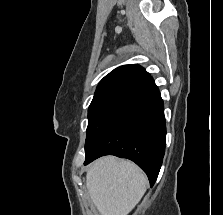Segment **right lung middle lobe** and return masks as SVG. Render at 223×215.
<instances>
[{
	"label": "right lung middle lobe",
	"instance_id": "obj_1",
	"mask_svg": "<svg viewBox=\"0 0 223 215\" xmlns=\"http://www.w3.org/2000/svg\"><path fill=\"white\" fill-rule=\"evenodd\" d=\"M145 98L126 91L109 92L94 97L88 109L85 154L90 153L105 135Z\"/></svg>",
	"mask_w": 223,
	"mask_h": 215
}]
</instances>
